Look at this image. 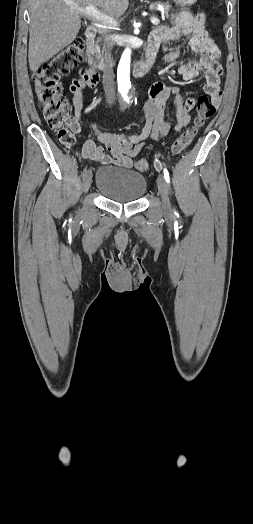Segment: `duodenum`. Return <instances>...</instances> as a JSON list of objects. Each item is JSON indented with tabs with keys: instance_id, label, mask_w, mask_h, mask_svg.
<instances>
[{
	"instance_id": "duodenum-1",
	"label": "duodenum",
	"mask_w": 253,
	"mask_h": 524,
	"mask_svg": "<svg viewBox=\"0 0 253 524\" xmlns=\"http://www.w3.org/2000/svg\"><path fill=\"white\" fill-rule=\"evenodd\" d=\"M97 36V28L95 26L87 27L85 37L87 40L86 57L89 65L97 70L108 71L107 62L101 55L98 47L95 44ZM151 67L149 62H137L133 65V71L137 76H143Z\"/></svg>"
}]
</instances>
